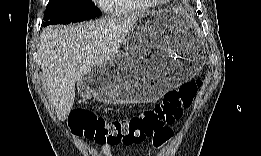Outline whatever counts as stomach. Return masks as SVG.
<instances>
[{
  "mask_svg": "<svg viewBox=\"0 0 261 156\" xmlns=\"http://www.w3.org/2000/svg\"><path fill=\"white\" fill-rule=\"evenodd\" d=\"M203 47L189 17L179 9L142 15L129 31L125 52L89 71L88 94L103 103L154 102L198 74Z\"/></svg>",
  "mask_w": 261,
  "mask_h": 156,
  "instance_id": "stomach-1",
  "label": "stomach"
}]
</instances>
